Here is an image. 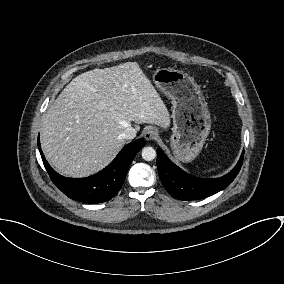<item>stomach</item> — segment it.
I'll return each instance as SVG.
<instances>
[{
	"mask_svg": "<svg viewBox=\"0 0 284 284\" xmlns=\"http://www.w3.org/2000/svg\"><path fill=\"white\" fill-rule=\"evenodd\" d=\"M153 81L171 99L173 154L182 162H190L201 152L211 129L207 102L195 80L182 71L158 69Z\"/></svg>",
	"mask_w": 284,
	"mask_h": 284,
	"instance_id": "stomach-1",
	"label": "stomach"
}]
</instances>
